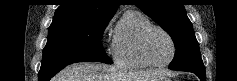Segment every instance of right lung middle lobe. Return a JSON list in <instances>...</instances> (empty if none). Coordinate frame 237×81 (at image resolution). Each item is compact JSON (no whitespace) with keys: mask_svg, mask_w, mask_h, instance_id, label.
Here are the masks:
<instances>
[{"mask_svg":"<svg viewBox=\"0 0 237 81\" xmlns=\"http://www.w3.org/2000/svg\"><path fill=\"white\" fill-rule=\"evenodd\" d=\"M108 22L82 17L53 19L42 61L85 58L112 64L101 42Z\"/></svg>","mask_w":237,"mask_h":81,"instance_id":"right-lung-middle-lobe-1","label":"right lung middle lobe"}]
</instances>
